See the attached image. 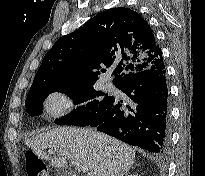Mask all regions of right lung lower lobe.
Wrapping results in <instances>:
<instances>
[{"label":"right lung lower lobe","instance_id":"1","mask_svg":"<svg viewBox=\"0 0 205 176\" xmlns=\"http://www.w3.org/2000/svg\"><path fill=\"white\" fill-rule=\"evenodd\" d=\"M116 87L129 100L112 97L87 126L130 145L165 154L170 146V111L164 63L136 72Z\"/></svg>","mask_w":205,"mask_h":176}]
</instances>
